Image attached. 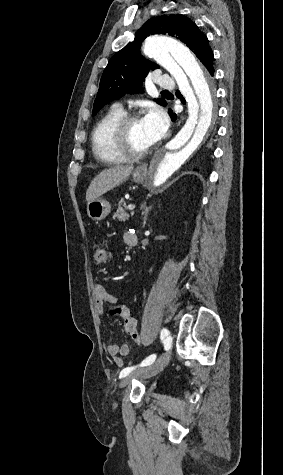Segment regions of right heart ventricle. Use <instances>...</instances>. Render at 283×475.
<instances>
[{
	"instance_id": "1",
	"label": "right heart ventricle",
	"mask_w": 283,
	"mask_h": 475,
	"mask_svg": "<svg viewBox=\"0 0 283 475\" xmlns=\"http://www.w3.org/2000/svg\"><path fill=\"white\" fill-rule=\"evenodd\" d=\"M126 115L125 110L120 105L111 106L96 122L91 134V143L94 154L104 162L98 155L99 149L105 152V147L110 142L109 137L116 123Z\"/></svg>"
}]
</instances>
